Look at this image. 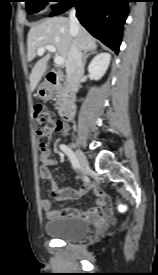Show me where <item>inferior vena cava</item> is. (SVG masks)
<instances>
[{
	"mask_svg": "<svg viewBox=\"0 0 158 275\" xmlns=\"http://www.w3.org/2000/svg\"><path fill=\"white\" fill-rule=\"evenodd\" d=\"M70 27L78 29L80 23L76 17V10L72 8L69 13ZM66 73L68 85L73 93L79 89L80 79L84 73L83 55L79 49L76 40L72 41L68 59L66 63Z\"/></svg>",
	"mask_w": 158,
	"mask_h": 275,
	"instance_id": "1",
	"label": "inferior vena cava"
}]
</instances>
